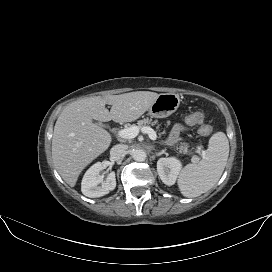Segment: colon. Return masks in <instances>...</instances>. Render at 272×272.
Masks as SVG:
<instances>
[{"instance_id": "obj_1", "label": "colon", "mask_w": 272, "mask_h": 272, "mask_svg": "<svg viewBox=\"0 0 272 272\" xmlns=\"http://www.w3.org/2000/svg\"><path fill=\"white\" fill-rule=\"evenodd\" d=\"M187 122L192 125H199V133L202 136H208L211 133V127L204 123V114L201 112H194L188 115Z\"/></svg>"}]
</instances>
